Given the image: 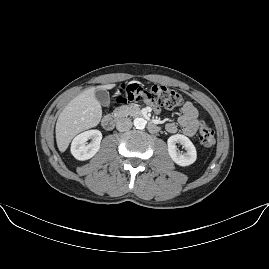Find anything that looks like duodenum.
I'll use <instances>...</instances> for the list:
<instances>
[{"label": "duodenum", "mask_w": 269, "mask_h": 269, "mask_svg": "<svg viewBox=\"0 0 269 269\" xmlns=\"http://www.w3.org/2000/svg\"><path fill=\"white\" fill-rule=\"evenodd\" d=\"M134 115L138 116V117H142V118H146L147 119V113L142 111V110H133ZM102 127L107 130L110 131L114 128L115 124H116V118L112 115H106L103 119H102ZM147 128L151 133H157L160 130V127L152 122V121H148L147 123Z\"/></svg>", "instance_id": "obj_1"}]
</instances>
